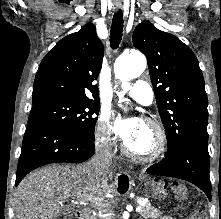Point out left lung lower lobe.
Returning <instances> with one entry per match:
<instances>
[{
	"label": "left lung lower lobe",
	"mask_w": 221,
	"mask_h": 219,
	"mask_svg": "<svg viewBox=\"0 0 221 219\" xmlns=\"http://www.w3.org/2000/svg\"><path fill=\"white\" fill-rule=\"evenodd\" d=\"M146 171L152 175L189 181L204 191L211 200L208 140L190 139L174 152H167L165 159Z\"/></svg>",
	"instance_id": "left-lung-lower-lobe-1"
}]
</instances>
